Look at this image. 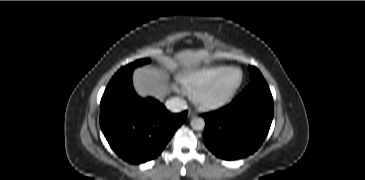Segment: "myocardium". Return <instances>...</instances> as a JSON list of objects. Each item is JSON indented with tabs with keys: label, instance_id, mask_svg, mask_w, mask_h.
Masks as SVG:
<instances>
[{
	"label": "myocardium",
	"instance_id": "myocardium-1",
	"mask_svg": "<svg viewBox=\"0 0 365 180\" xmlns=\"http://www.w3.org/2000/svg\"><path fill=\"white\" fill-rule=\"evenodd\" d=\"M229 71H238L240 73V79L237 85L232 89V91L226 96L220 99H208L206 97L207 92L213 86V84L225 73ZM244 82V73L243 71L235 66L226 67L221 72H219L215 77L209 80L207 83L199 87L196 91H194L192 98L194 103L202 110H216L222 108L229 103H231L235 97L237 96L239 90L241 89Z\"/></svg>",
	"mask_w": 365,
	"mask_h": 180
}]
</instances>
